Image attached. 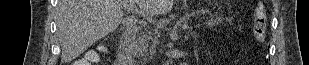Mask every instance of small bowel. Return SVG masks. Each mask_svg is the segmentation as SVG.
I'll use <instances>...</instances> for the list:
<instances>
[{
    "instance_id": "1",
    "label": "small bowel",
    "mask_w": 309,
    "mask_h": 65,
    "mask_svg": "<svg viewBox=\"0 0 309 65\" xmlns=\"http://www.w3.org/2000/svg\"><path fill=\"white\" fill-rule=\"evenodd\" d=\"M97 59V56H96V53H95V55H94V58H92V59H87V60H84L83 62H81V63H90V62H93V61H95Z\"/></svg>"
}]
</instances>
